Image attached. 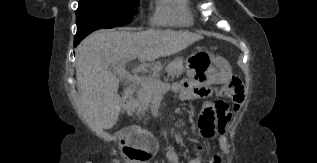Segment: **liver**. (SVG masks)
Segmentation results:
<instances>
[{"label": "liver", "instance_id": "liver-1", "mask_svg": "<svg viewBox=\"0 0 317 163\" xmlns=\"http://www.w3.org/2000/svg\"><path fill=\"white\" fill-rule=\"evenodd\" d=\"M203 36L188 31L149 29L141 32L103 29L77 49L76 78L80 109L95 130L111 129L121 106L119 79L110 67L127 57L153 61L186 49Z\"/></svg>", "mask_w": 317, "mask_h": 163}]
</instances>
